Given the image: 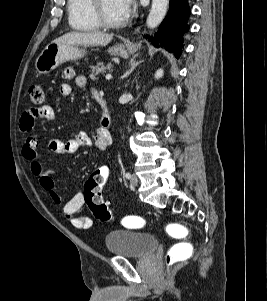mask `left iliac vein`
Instances as JSON below:
<instances>
[{"label":"left iliac vein","instance_id":"left-iliac-vein-1","mask_svg":"<svg viewBox=\"0 0 267 301\" xmlns=\"http://www.w3.org/2000/svg\"><path fill=\"white\" fill-rule=\"evenodd\" d=\"M137 184H138V177L135 174H132L130 178V185L131 187H136Z\"/></svg>","mask_w":267,"mask_h":301}]
</instances>
